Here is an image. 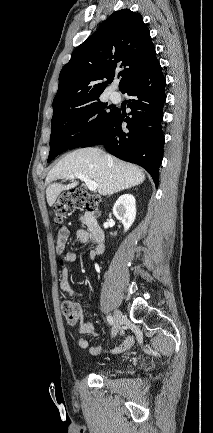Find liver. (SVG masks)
I'll list each match as a JSON object with an SVG mask.
<instances>
[{
    "mask_svg": "<svg viewBox=\"0 0 213 433\" xmlns=\"http://www.w3.org/2000/svg\"><path fill=\"white\" fill-rule=\"evenodd\" d=\"M80 173L96 182L98 193L106 196L143 183L145 175L136 165L112 157L98 148L75 150L61 159L48 173L46 178V198L52 206L62 191L78 185L69 175ZM58 179H71L62 185Z\"/></svg>",
    "mask_w": 213,
    "mask_h": 433,
    "instance_id": "obj_1",
    "label": "liver"
}]
</instances>
